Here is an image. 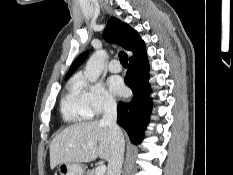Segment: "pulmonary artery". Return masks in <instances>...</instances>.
Listing matches in <instances>:
<instances>
[{
  "mask_svg": "<svg viewBox=\"0 0 233 175\" xmlns=\"http://www.w3.org/2000/svg\"><path fill=\"white\" fill-rule=\"evenodd\" d=\"M108 67L112 73H118L122 69L120 62L117 59L111 60Z\"/></svg>",
  "mask_w": 233,
  "mask_h": 175,
  "instance_id": "pulmonary-artery-1",
  "label": "pulmonary artery"
}]
</instances>
